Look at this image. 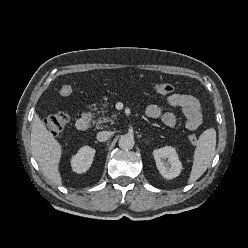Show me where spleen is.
Returning a JSON list of instances; mask_svg holds the SVG:
<instances>
[{
  "mask_svg": "<svg viewBox=\"0 0 248 248\" xmlns=\"http://www.w3.org/2000/svg\"><path fill=\"white\" fill-rule=\"evenodd\" d=\"M216 149V131L214 128L205 130L199 137L194 151L193 166L188 183H194L207 170L214 158Z\"/></svg>",
  "mask_w": 248,
  "mask_h": 248,
  "instance_id": "spleen-1",
  "label": "spleen"
}]
</instances>
